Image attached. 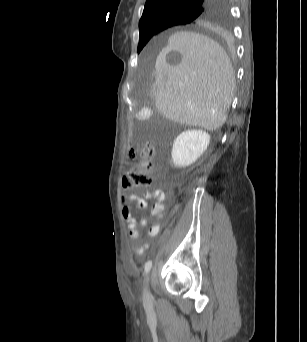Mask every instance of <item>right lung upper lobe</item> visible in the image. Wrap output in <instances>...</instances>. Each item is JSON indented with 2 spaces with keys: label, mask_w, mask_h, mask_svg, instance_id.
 Returning <instances> with one entry per match:
<instances>
[{
  "label": "right lung upper lobe",
  "mask_w": 307,
  "mask_h": 342,
  "mask_svg": "<svg viewBox=\"0 0 307 342\" xmlns=\"http://www.w3.org/2000/svg\"><path fill=\"white\" fill-rule=\"evenodd\" d=\"M225 8L224 0H147L139 29L142 31L154 26L164 13L197 9L200 11L199 16L188 24L198 31L219 35L223 32Z\"/></svg>",
  "instance_id": "right-lung-upper-lobe-1"
}]
</instances>
